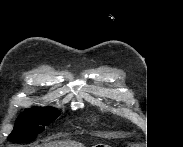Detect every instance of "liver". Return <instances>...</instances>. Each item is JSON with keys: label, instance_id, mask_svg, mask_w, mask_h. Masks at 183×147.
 Listing matches in <instances>:
<instances>
[{"label": "liver", "instance_id": "1", "mask_svg": "<svg viewBox=\"0 0 183 147\" xmlns=\"http://www.w3.org/2000/svg\"><path fill=\"white\" fill-rule=\"evenodd\" d=\"M45 147H84L83 144L74 141H62L46 144Z\"/></svg>", "mask_w": 183, "mask_h": 147}]
</instances>
